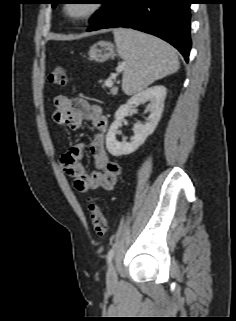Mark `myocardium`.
I'll list each match as a JSON object with an SVG mask.
<instances>
[{"mask_svg": "<svg viewBox=\"0 0 236 321\" xmlns=\"http://www.w3.org/2000/svg\"><path fill=\"white\" fill-rule=\"evenodd\" d=\"M103 5L96 0L69 1L62 5V15L72 22L91 20L102 10ZM76 9H79L76 11Z\"/></svg>", "mask_w": 236, "mask_h": 321, "instance_id": "1", "label": "myocardium"}]
</instances>
